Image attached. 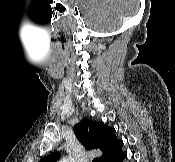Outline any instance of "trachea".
<instances>
[{
  "mask_svg": "<svg viewBox=\"0 0 175 162\" xmlns=\"http://www.w3.org/2000/svg\"><path fill=\"white\" fill-rule=\"evenodd\" d=\"M93 162H98V159H97V158H95V159L93 160Z\"/></svg>",
  "mask_w": 175,
  "mask_h": 162,
  "instance_id": "obj_1",
  "label": "trachea"
}]
</instances>
